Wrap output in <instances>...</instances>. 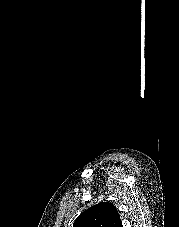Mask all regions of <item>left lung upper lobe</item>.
<instances>
[{"label": "left lung upper lobe", "instance_id": "left-lung-upper-lobe-1", "mask_svg": "<svg viewBox=\"0 0 179 227\" xmlns=\"http://www.w3.org/2000/svg\"><path fill=\"white\" fill-rule=\"evenodd\" d=\"M73 227H123L116 207L108 202L98 203L75 220Z\"/></svg>", "mask_w": 179, "mask_h": 227}]
</instances>
